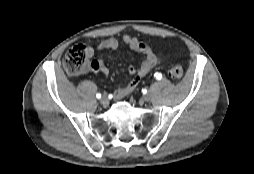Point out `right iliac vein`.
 <instances>
[{"label": "right iliac vein", "mask_w": 254, "mask_h": 174, "mask_svg": "<svg viewBox=\"0 0 254 174\" xmlns=\"http://www.w3.org/2000/svg\"><path fill=\"white\" fill-rule=\"evenodd\" d=\"M100 102H101V104H102L103 106H107L108 103H109V100H108V98H107L106 95H103V96L101 97V99H100Z\"/></svg>", "instance_id": "obj_1"}]
</instances>
